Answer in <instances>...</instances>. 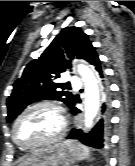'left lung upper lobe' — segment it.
Returning a JSON list of instances; mask_svg holds the SVG:
<instances>
[{
	"instance_id": "1",
	"label": "left lung upper lobe",
	"mask_w": 135,
	"mask_h": 166,
	"mask_svg": "<svg viewBox=\"0 0 135 166\" xmlns=\"http://www.w3.org/2000/svg\"><path fill=\"white\" fill-rule=\"evenodd\" d=\"M75 56L91 63L97 53L88 35L77 27H66L38 59L26 66L22 77L14 83L7 99V121H13L26 106L39 100H58L71 107L75 97L63 91L69 89V83H60L57 79L71 67L70 61Z\"/></svg>"
}]
</instances>
